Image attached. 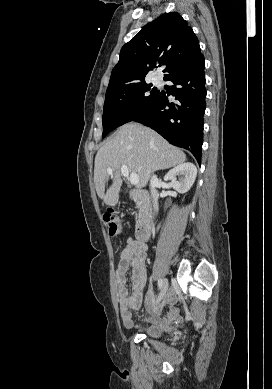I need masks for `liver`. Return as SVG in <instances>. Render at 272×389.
I'll list each match as a JSON object with an SVG mask.
<instances>
[{
    "label": "liver",
    "instance_id": "6515ba94",
    "mask_svg": "<svg viewBox=\"0 0 272 389\" xmlns=\"http://www.w3.org/2000/svg\"><path fill=\"white\" fill-rule=\"evenodd\" d=\"M185 160L183 151L170 145L152 129L138 123H127L121 126L96 154V192L106 205L115 206L122 185V165H126L129 172L139 176L136 188L141 189L147 185L154 171L177 166ZM108 168H112V174H108ZM108 175H111L112 184L105 193V180Z\"/></svg>",
    "mask_w": 272,
    "mask_h": 389
}]
</instances>
